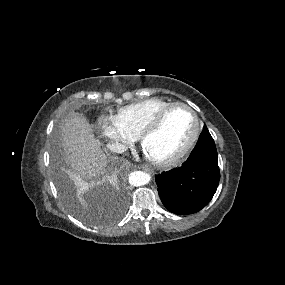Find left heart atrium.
Instances as JSON below:
<instances>
[{
    "label": "left heart atrium",
    "instance_id": "39dd6f15",
    "mask_svg": "<svg viewBox=\"0 0 285 285\" xmlns=\"http://www.w3.org/2000/svg\"><path fill=\"white\" fill-rule=\"evenodd\" d=\"M142 152L146 155V156H148L146 153H145V151L143 150V148H142ZM149 157V156H148Z\"/></svg>",
    "mask_w": 285,
    "mask_h": 285
}]
</instances>
